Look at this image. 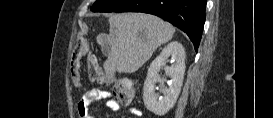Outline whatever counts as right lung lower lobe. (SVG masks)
Here are the masks:
<instances>
[{"label":"right lung lower lobe","instance_id":"right-lung-lower-lobe-1","mask_svg":"<svg viewBox=\"0 0 273 118\" xmlns=\"http://www.w3.org/2000/svg\"><path fill=\"white\" fill-rule=\"evenodd\" d=\"M206 0H128L115 12H143L163 18L184 31L199 47L205 23Z\"/></svg>","mask_w":273,"mask_h":118}]
</instances>
